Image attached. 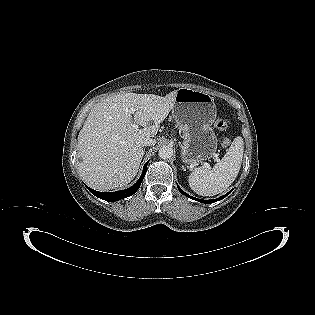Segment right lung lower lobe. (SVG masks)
<instances>
[{
  "label": "right lung lower lobe",
  "instance_id": "98d812e1",
  "mask_svg": "<svg viewBox=\"0 0 315 315\" xmlns=\"http://www.w3.org/2000/svg\"><path fill=\"white\" fill-rule=\"evenodd\" d=\"M148 162L149 161H147V163L145 164L143 172H142V175L139 178V180L133 186H131L128 189L121 190V191H116V192L103 193V192L95 191V190H93V189H91L89 187H87V188L95 196H97V197H99V198H101L103 200L109 201V202H114V201H117V200L129 197V196L134 194L139 189V187H140V185H141V183L143 181V178H144V176L146 174V167H147Z\"/></svg>",
  "mask_w": 315,
  "mask_h": 315
}]
</instances>
